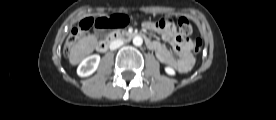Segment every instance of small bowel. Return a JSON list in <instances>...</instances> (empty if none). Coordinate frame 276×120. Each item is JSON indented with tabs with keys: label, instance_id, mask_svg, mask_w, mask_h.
Returning <instances> with one entry per match:
<instances>
[{
	"label": "small bowel",
	"instance_id": "c3829d8e",
	"mask_svg": "<svg viewBox=\"0 0 276 120\" xmlns=\"http://www.w3.org/2000/svg\"><path fill=\"white\" fill-rule=\"evenodd\" d=\"M143 27L146 30L160 34L163 40L172 46L175 54L178 56V58H175L164 44L148 39L149 43L147 46L155 51L162 63L175 68L181 73L190 71L194 63L190 54L191 43L176 32L174 25L162 28L158 25V22L145 21Z\"/></svg>",
	"mask_w": 276,
	"mask_h": 120
}]
</instances>
